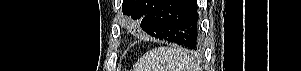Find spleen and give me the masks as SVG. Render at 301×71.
<instances>
[{
    "instance_id": "1",
    "label": "spleen",
    "mask_w": 301,
    "mask_h": 71,
    "mask_svg": "<svg viewBox=\"0 0 301 71\" xmlns=\"http://www.w3.org/2000/svg\"><path fill=\"white\" fill-rule=\"evenodd\" d=\"M195 60L182 50L158 47L146 52L138 61L136 71H195Z\"/></svg>"
}]
</instances>
